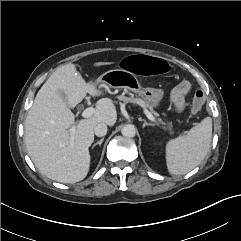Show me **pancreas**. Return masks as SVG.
<instances>
[{
	"label": "pancreas",
	"instance_id": "1",
	"mask_svg": "<svg viewBox=\"0 0 241 241\" xmlns=\"http://www.w3.org/2000/svg\"><path fill=\"white\" fill-rule=\"evenodd\" d=\"M119 100L124 101L125 103H134L137 104L139 106H142L144 108H149V110L154 113L155 115H157V113H155L153 111V108L151 106H149L143 99L141 98H131V97H125V96H119Z\"/></svg>",
	"mask_w": 241,
	"mask_h": 241
}]
</instances>
